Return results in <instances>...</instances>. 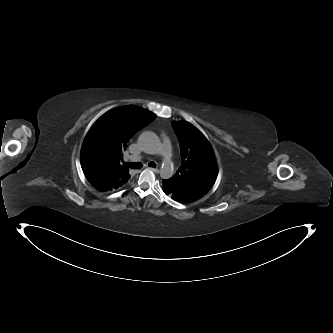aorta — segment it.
I'll list each match as a JSON object with an SVG mask.
<instances>
[{
	"mask_svg": "<svg viewBox=\"0 0 333 333\" xmlns=\"http://www.w3.org/2000/svg\"><path fill=\"white\" fill-rule=\"evenodd\" d=\"M138 143L150 154H158L161 168L160 175L163 179H169L173 173L171 159L162 151L161 143L158 136L152 131H145L140 134Z\"/></svg>",
	"mask_w": 333,
	"mask_h": 333,
	"instance_id": "1",
	"label": "aorta"
}]
</instances>
